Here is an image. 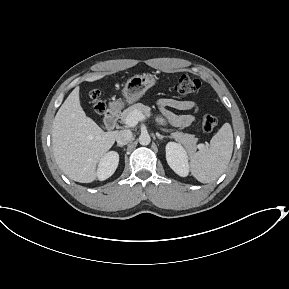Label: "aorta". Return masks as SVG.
Masks as SVG:
<instances>
[{"instance_id":"762f6f07","label":"aorta","mask_w":289,"mask_h":289,"mask_svg":"<svg viewBox=\"0 0 289 289\" xmlns=\"http://www.w3.org/2000/svg\"><path fill=\"white\" fill-rule=\"evenodd\" d=\"M151 138L148 133H143L139 136V143L143 146L149 145Z\"/></svg>"}]
</instances>
